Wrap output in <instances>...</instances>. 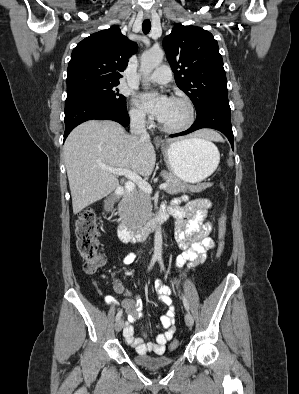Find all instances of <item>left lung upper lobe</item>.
I'll list each match as a JSON object with an SVG mask.
<instances>
[{"label":"left lung upper lobe","instance_id":"5c2ea615","mask_svg":"<svg viewBox=\"0 0 299 394\" xmlns=\"http://www.w3.org/2000/svg\"><path fill=\"white\" fill-rule=\"evenodd\" d=\"M177 86L196 110L218 97H228L222 56L213 35L196 26L176 24L163 40Z\"/></svg>","mask_w":299,"mask_h":394}]
</instances>
